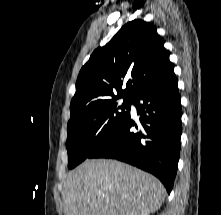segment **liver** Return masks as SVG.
I'll return each mask as SVG.
<instances>
[{
	"label": "liver",
	"instance_id": "liver-1",
	"mask_svg": "<svg viewBox=\"0 0 221 215\" xmlns=\"http://www.w3.org/2000/svg\"><path fill=\"white\" fill-rule=\"evenodd\" d=\"M166 196L151 174L115 160H87L64 181L65 215H141L157 211Z\"/></svg>",
	"mask_w": 221,
	"mask_h": 215
}]
</instances>
